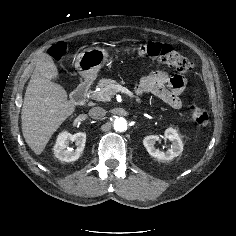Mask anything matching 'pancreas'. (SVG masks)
Listing matches in <instances>:
<instances>
[{"mask_svg": "<svg viewBox=\"0 0 236 236\" xmlns=\"http://www.w3.org/2000/svg\"><path fill=\"white\" fill-rule=\"evenodd\" d=\"M117 85V81L113 79H101L99 80L98 87L100 91H93L91 93V98L97 101H107L106 97H111L115 94V90L112 86Z\"/></svg>", "mask_w": 236, "mask_h": 236, "instance_id": "obj_1", "label": "pancreas"}]
</instances>
